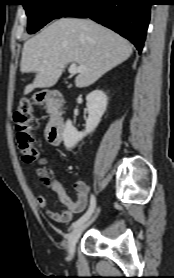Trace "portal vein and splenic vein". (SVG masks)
Segmentation results:
<instances>
[{
	"instance_id": "1",
	"label": "portal vein and splenic vein",
	"mask_w": 174,
	"mask_h": 278,
	"mask_svg": "<svg viewBox=\"0 0 174 278\" xmlns=\"http://www.w3.org/2000/svg\"><path fill=\"white\" fill-rule=\"evenodd\" d=\"M86 70V67L81 65L77 66L76 63H72L68 69L69 73L71 74H76V73H81Z\"/></svg>"
}]
</instances>
